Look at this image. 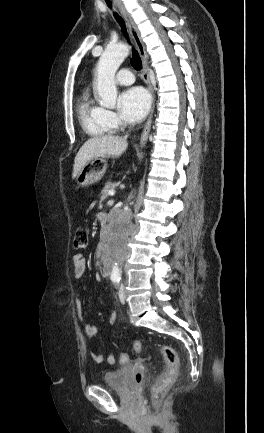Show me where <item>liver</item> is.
I'll use <instances>...</instances> for the list:
<instances>
[{"label": "liver", "mask_w": 264, "mask_h": 433, "mask_svg": "<svg viewBox=\"0 0 264 433\" xmlns=\"http://www.w3.org/2000/svg\"><path fill=\"white\" fill-rule=\"evenodd\" d=\"M126 138L113 135L93 137L87 140L78 151L75 160L72 178H75L82 167L95 157H118L127 149Z\"/></svg>", "instance_id": "obj_1"}]
</instances>
